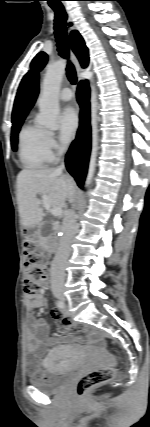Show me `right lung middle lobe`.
Returning <instances> with one entry per match:
<instances>
[{
  "instance_id": "right-lung-middle-lobe-1",
  "label": "right lung middle lobe",
  "mask_w": 150,
  "mask_h": 427,
  "mask_svg": "<svg viewBox=\"0 0 150 427\" xmlns=\"http://www.w3.org/2000/svg\"><path fill=\"white\" fill-rule=\"evenodd\" d=\"M24 120L13 123L12 125V132H11V145H12V149L14 151H16L17 149V136H18V132L21 128V125L23 123Z\"/></svg>"
}]
</instances>
